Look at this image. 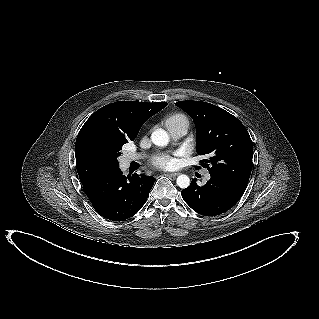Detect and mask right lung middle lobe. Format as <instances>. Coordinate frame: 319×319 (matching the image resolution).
Returning <instances> with one entry per match:
<instances>
[{
  "label": "right lung middle lobe",
  "instance_id": "1",
  "mask_svg": "<svg viewBox=\"0 0 319 319\" xmlns=\"http://www.w3.org/2000/svg\"><path fill=\"white\" fill-rule=\"evenodd\" d=\"M122 147H115L114 149H108L103 145L97 144L94 146V149L99 155L106 156L110 159L114 168H118L119 164L117 161V157L120 155V150Z\"/></svg>",
  "mask_w": 319,
  "mask_h": 319
}]
</instances>
